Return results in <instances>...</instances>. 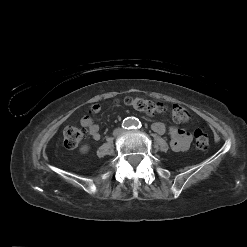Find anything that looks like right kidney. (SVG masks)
<instances>
[{"label": "right kidney", "instance_id": "1", "mask_svg": "<svg viewBox=\"0 0 247 247\" xmlns=\"http://www.w3.org/2000/svg\"><path fill=\"white\" fill-rule=\"evenodd\" d=\"M89 150V146L88 145H83L81 148H80V152L81 153H87Z\"/></svg>", "mask_w": 247, "mask_h": 247}]
</instances>
